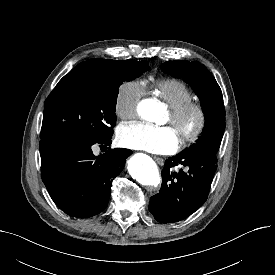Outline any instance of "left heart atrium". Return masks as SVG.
<instances>
[{
    "mask_svg": "<svg viewBox=\"0 0 275 275\" xmlns=\"http://www.w3.org/2000/svg\"><path fill=\"white\" fill-rule=\"evenodd\" d=\"M117 140L126 148L160 154L174 152L179 144V139L171 127H161L145 122H129L120 125Z\"/></svg>",
    "mask_w": 275,
    "mask_h": 275,
    "instance_id": "left-heart-atrium-1",
    "label": "left heart atrium"
}]
</instances>
